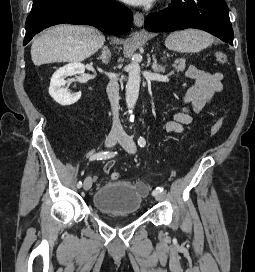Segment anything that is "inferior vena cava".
<instances>
[{
    "label": "inferior vena cava",
    "mask_w": 255,
    "mask_h": 272,
    "mask_svg": "<svg viewBox=\"0 0 255 272\" xmlns=\"http://www.w3.org/2000/svg\"><path fill=\"white\" fill-rule=\"evenodd\" d=\"M106 92L110 101L113 123L111 132L113 134H123L124 130L119 120V84L117 79H111L107 85Z\"/></svg>",
    "instance_id": "obj_1"
}]
</instances>
